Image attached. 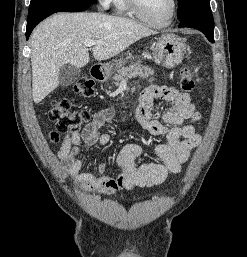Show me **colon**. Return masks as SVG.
Here are the masks:
<instances>
[{
	"mask_svg": "<svg viewBox=\"0 0 247 257\" xmlns=\"http://www.w3.org/2000/svg\"><path fill=\"white\" fill-rule=\"evenodd\" d=\"M180 88L183 92H191L195 83L193 80V72L189 66H185L181 70ZM75 91L85 97L90 98L94 95V82L87 78H82L74 85ZM72 101L69 98L55 99L52 103L50 111L51 120L55 122L58 130L78 132L91 119V112L86 110H72ZM58 133L52 132L50 138L53 142L58 141Z\"/></svg>",
	"mask_w": 247,
	"mask_h": 257,
	"instance_id": "5ec220e1",
	"label": "colon"
}]
</instances>
